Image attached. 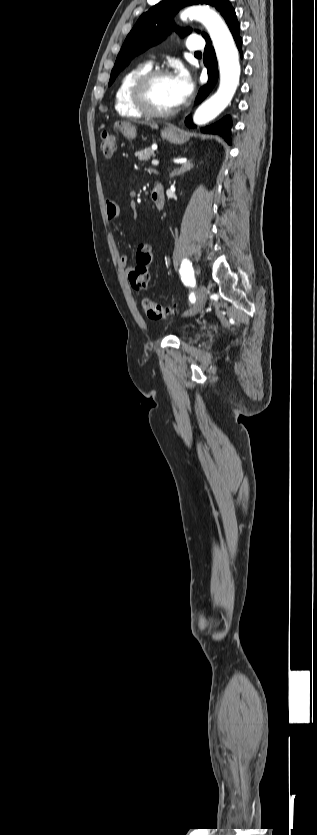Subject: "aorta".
I'll return each mask as SVG.
<instances>
[{"label":"aorta","mask_w":317,"mask_h":835,"mask_svg":"<svg viewBox=\"0 0 317 835\" xmlns=\"http://www.w3.org/2000/svg\"><path fill=\"white\" fill-rule=\"evenodd\" d=\"M181 19L194 18L207 29L214 46L220 73V84L217 92L196 110L193 121L203 125L220 115L230 104L240 77V63L238 50L233 37L222 18L212 9L205 6H192L185 9Z\"/></svg>","instance_id":"aorta-1"}]
</instances>
